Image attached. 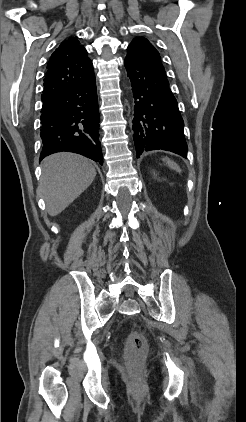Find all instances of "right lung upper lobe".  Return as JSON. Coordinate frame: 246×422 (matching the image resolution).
Returning a JSON list of instances; mask_svg holds the SVG:
<instances>
[{"label": "right lung upper lobe", "mask_w": 246, "mask_h": 422, "mask_svg": "<svg viewBox=\"0 0 246 422\" xmlns=\"http://www.w3.org/2000/svg\"><path fill=\"white\" fill-rule=\"evenodd\" d=\"M93 75V65L86 49L77 37H69L58 46L48 61L41 100L79 85Z\"/></svg>", "instance_id": "right-lung-upper-lobe-1"}]
</instances>
